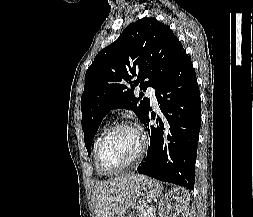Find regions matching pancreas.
Returning <instances> with one entry per match:
<instances>
[{
  "label": "pancreas",
  "instance_id": "pancreas-1",
  "mask_svg": "<svg viewBox=\"0 0 253 217\" xmlns=\"http://www.w3.org/2000/svg\"><path fill=\"white\" fill-rule=\"evenodd\" d=\"M149 208V206H146L135 217H155V211H148ZM145 213L147 214L145 215Z\"/></svg>",
  "mask_w": 253,
  "mask_h": 217
}]
</instances>
